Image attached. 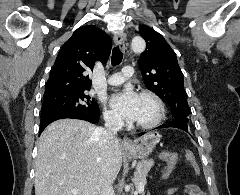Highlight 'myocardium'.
<instances>
[{
  "instance_id": "myocardium-1",
  "label": "myocardium",
  "mask_w": 240,
  "mask_h": 195,
  "mask_svg": "<svg viewBox=\"0 0 240 195\" xmlns=\"http://www.w3.org/2000/svg\"><path fill=\"white\" fill-rule=\"evenodd\" d=\"M140 97H147L150 98L155 106H156V113L153 119L146 123H135L132 125V128L135 130L147 131L155 128L160 124L162 121L164 114H165V107L162 99L156 93L150 90H144L140 93Z\"/></svg>"
}]
</instances>
